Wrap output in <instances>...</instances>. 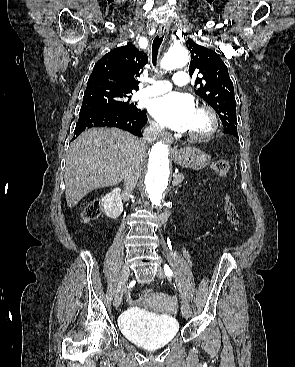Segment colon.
Segmentation results:
<instances>
[{
    "mask_svg": "<svg viewBox=\"0 0 295 367\" xmlns=\"http://www.w3.org/2000/svg\"><path fill=\"white\" fill-rule=\"evenodd\" d=\"M212 170L220 176H226L229 172L230 165L229 161L226 159H219L215 161L212 166ZM224 211L227 220L234 226L240 224V216L236 210L234 203L231 201L230 197L226 196L224 201ZM101 212V203L99 200H91L87 202L83 208L81 217L84 222L91 221L99 216ZM151 294V291L146 289L142 292L143 297H147Z\"/></svg>",
    "mask_w": 295,
    "mask_h": 367,
    "instance_id": "obj_1",
    "label": "colon"
}]
</instances>
